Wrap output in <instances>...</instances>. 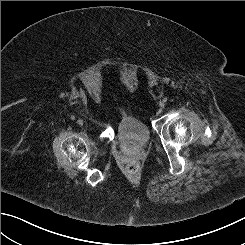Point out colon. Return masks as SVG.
<instances>
[{
	"label": "colon",
	"instance_id": "1",
	"mask_svg": "<svg viewBox=\"0 0 245 245\" xmlns=\"http://www.w3.org/2000/svg\"><path fill=\"white\" fill-rule=\"evenodd\" d=\"M138 169H139V165L135 161H132V162L128 163L127 166H126V170L130 174L135 173Z\"/></svg>",
	"mask_w": 245,
	"mask_h": 245
}]
</instances>
